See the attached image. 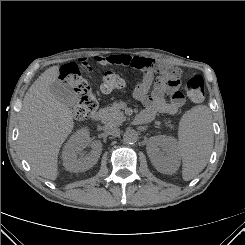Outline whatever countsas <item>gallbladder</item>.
I'll use <instances>...</instances> for the list:
<instances>
[{"instance_id": "gallbladder-1", "label": "gallbladder", "mask_w": 245, "mask_h": 245, "mask_svg": "<svg viewBox=\"0 0 245 245\" xmlns=\"http://www.w3.org/2000/svg\"><path fill=\"white\" fill-rule=\"evenodd\" d=\"M52 94L65 105L72 107L78 101V96L72 85L57 80L50 86Z\"/></svg>"}]
</instances>
